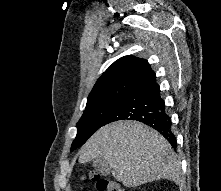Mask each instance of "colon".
Here are the masks:
<instances>
[{"mask_svg": "<svg viewBox=\"0 0 221 191\" xmlns=\"http://www.w3.org/2000/svg\"><path fill=\"white\" fill-rule=\"evenodd\" d=\"M88 178L95 183L98 191H126L118 183L109 181L96 172H90Z\"/></svg>", "mask_w": 221, "mask_h": 191, "instance_id": "obj_1", "label": "colon"}]
</instances>
